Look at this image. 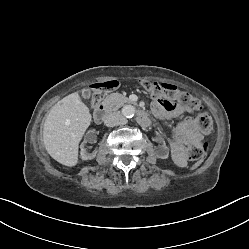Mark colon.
<instances>
[{
  "label": "colon",
  "instance_id": "5ec220e1",
  "mask_svg": "<svg viewBox=\"0 0 249 249\" xmlns=\"http://www.w3.org/2000/svg\"><path fill=\"white\" fill-rule=\"evenodd\" d=\"M141 88L156 100L166 104L178 103L191 111H198L195 117V123L198 129L208 134L213 129L212 117L205 111H201L198 100L187 92L179 90L176 86L169 83H159L145 79L139 80ZM118 86L116 80L96 83L93 85L92 103L98 104L106 92L115 89ZM210 143L205 141L202 145H190L188 147V158L192 162H201L207 155Z\"/></svg>",
  "mask_w": 249,
  "mask_h": 249
}]
</instances>
